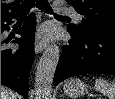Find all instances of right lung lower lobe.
Segmentation results:
<instances>
[{
  "label": "right lung lower lobe",
  "mask_w": 115,
  "mask_h": 99,
  "mask_svg": "<svg viewBox=\"0 0 115 99\" xmlns=\"http://www.w3.org/2000/svg\"><path fill=\"white\" fill-rule=\"evenodd\" d=\"M17 17L18 15L1 20V34L9 30L8 25ZM35 26V16L30 14L17 32L21 38L11 41L20 45L18 49L8 48L6 44L10 40L1 38V84L20 93L24 98L28 97V77L34 60Z\"/></svg>",
  "instance_id": "right-lung-lower-lobe-1"
}]
</instances>
